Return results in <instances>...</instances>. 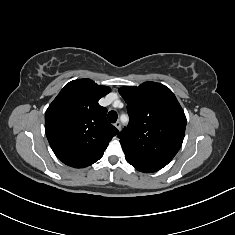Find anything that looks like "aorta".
Here are the masks:
<instances>
[{"label": "aorta", "mask_w": 235, "mask_h": 235, "mask_svg": "<svg viewBox=\"0 0 235 235\" xmlns=\"http://www.w3.org/2000/svg\"><path fill=\"white\" fill-rule=\"evenodd\" d=\"M124 117H125V116H121V119L123 120Z\"/></svg>", "instance_id": "aorta-1"}]
</instances>
